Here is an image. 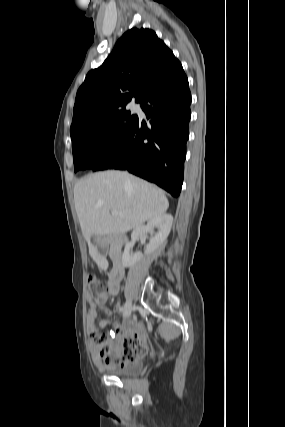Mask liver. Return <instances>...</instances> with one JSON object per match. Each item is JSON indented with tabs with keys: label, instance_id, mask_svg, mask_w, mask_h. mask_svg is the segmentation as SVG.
<instances>
[{
	"label": "liver",
	"instance_id": "obj_1",
	"mask_svg": "<svg viewBox=\"0 0 285 427\" xmlns=\"http://www.w3.org/2000/svg\"><path fill=\"white\" fill-rule=\"evenodd\" d=\"M74 201L82 233L96 261L101 257L91 243L92 236L125 234L164 214L169 207L160 188L115 170L98 172L79 180L74 187ZM112 210L119 214L112 216Z\"/></svg>",
	"mask_w": 285,
	"mask_h": 427
}]
</instances>
